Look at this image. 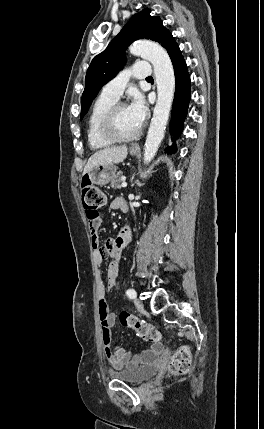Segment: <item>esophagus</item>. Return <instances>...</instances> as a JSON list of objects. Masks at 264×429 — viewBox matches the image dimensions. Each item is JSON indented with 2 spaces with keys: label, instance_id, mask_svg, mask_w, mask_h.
Instances as JSON below:
<instances>
[{
  "label": "esophagus",
  "instance_id": "obj_1",
  "mask_svg": "<svg viewBox=\"0 0 264 429\" xmlns=\"http://www.w3.org/2000/svg\"><path fill=\"white\" fill-rule=\"evenodd\" d=\"M132 149H139V145H132Z\"/></svg>",
  "mask_w": 264,
  "mask_h": 429
}]
</instances>
